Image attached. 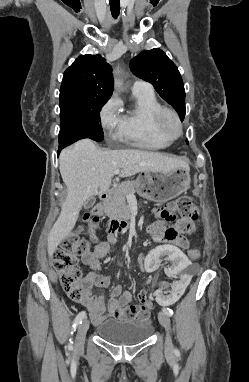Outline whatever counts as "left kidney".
Returning <instances> with one entry per match:
<instances>
[{
    "label": "left kidney",
    "instance_id": "5707ae66",
    "mask_svg": "<svg viewBox=\"0 0 249 382\" xmlns=\"http://www.w3.org/2000/svg\"><path fill=\"white\" fill-rule=\"evenodd\" d=\"M138 265L145 267L146 273H160L166 278L153 293L160 307H175L182 293H186L187 285L192 284V277L196 276L195 270H188L191 261L184 250H179V245L159 246L146 255L145 260H139Z\"/></svg>",
    "mask_w": 249,
    "mask_h": 382
}]
</instances>
